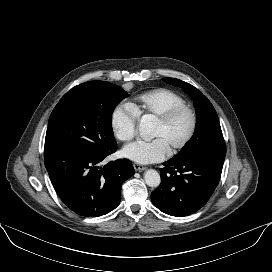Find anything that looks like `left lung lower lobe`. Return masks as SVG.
I'll use <instances>...</instances> for the list:
<instances>
[{"label":"left lung lower lobe","mask_w":272,"mask_h":272,"mask_svg":"<svg viewBox=\"0 0 272 272\" xmlns=\"http://www.w3.org/2000/svg\"><path fill=\"white\" fill-rule=\"evenodd\" d=\"M162 182L151 193L160 211L171 216H187L201 209L217 187L223 164L195 156L163 163Z\"/></svg>","instance_id":"obj_1"}]
</instances>
